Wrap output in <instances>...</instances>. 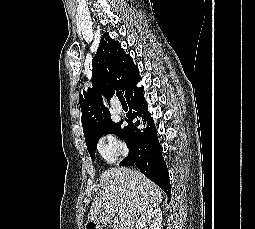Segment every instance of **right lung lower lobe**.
<instances>
[{
  "label": "right lung lower lobe",
  "instance_id": "obj_1",
  "mask_svg": "<svg viewBox=\"0 0 255 229\" xmlns=\"http://www.w3.org/2000/svg\"><path fill=\"white\" fill-rule=\"evenodd\" d=\"M141 80L138 68L131 74L125 98L129 106L125 135L130 144V153L120 166L137 164L139 170L166 192L171 199V186L166 163L162 157V148L156 135L153 118L148 112L144 99L143 87L137 88ZM143 126V128H138Z\"/></svg>",
  "mask_w": 255,
  "mask_h": 229
}]
</instances>
